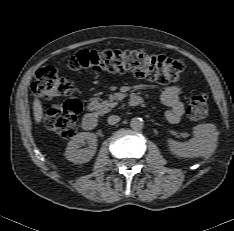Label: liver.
Masks as SVG:
<instances>
[{
    "instance_id": "liver-1",
    "label": "liver",
    "mask_w": 234,
    "mask_h": 231,
    "mask_svg": "<svg viewBox=\"0 0 234 231\" xmlns=\"http://www.w3.org/2000/svg\"><path fill=\"white\" fill-rule=\"evenodd\" d=\"M33 114L36 124H39L43 117V108L40 100L38 99H35L33 102Z\"/></svg>"
}]
</instances>
